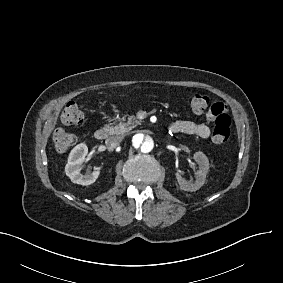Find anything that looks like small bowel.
<instances>
[{
    "label": "small bowel",
    "mask_w": 283,
    "mask_h": 283,
    "mask_svg": "<svg viewBox=\"0 0 283 283\" xmlns=\"http://www.w3.org/2000/svg\"><path fill=\"white\" fill-rule=\"evenodd\" d=\"M231 110L232 105L228 101L213 102L207 108V117L211 121H216L220 117V114L227 115ZM171 130L174 133L194 135L202 139H206L210 136V128L205 122L182 120L174 123Z\"/></svg>",
    "instance_id": "small-bowel-1"
}]
</instances>
